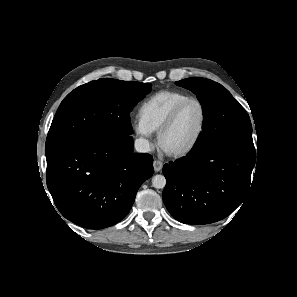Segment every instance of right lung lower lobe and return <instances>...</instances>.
Instances as JSON below:
<instances>
[{
	"instance_id": "98d812e1",
	"label": "right lung lower lobe",
	"mask_w": 297,
	"mask_h": 297,
	"mask_svg": "<svg viewBox=\"0 0 297 297\" xmlns=\"http://www.w3.org/2000/svg\"><path fill=\"white\" fill-rule=\"evenodd\" d=\"M152 164L151 155L133 153L132 136L95 138L47 157V187L66 219L106 228L128 214Z\"/></svg>"
}]
</instances>
